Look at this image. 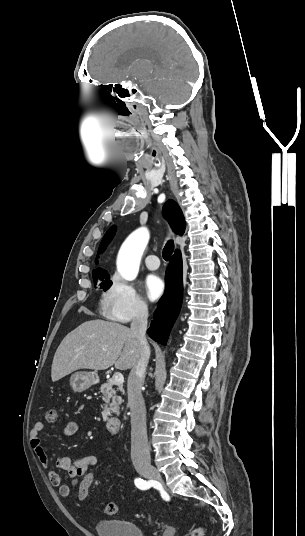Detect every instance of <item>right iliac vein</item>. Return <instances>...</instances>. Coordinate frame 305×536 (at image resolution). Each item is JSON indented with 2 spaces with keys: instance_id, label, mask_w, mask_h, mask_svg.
Returning a JSON list of instances; mask_svg holds the SVG:
<instances>
[{
  "instance_id": "1",
  "label": "right iliac vein",
  "mask_w": 305,
  "mask_h": 536,
  "mask_svg": "<svg viewBox=\"0 0 305 536\" xmlns=\"http://www.w3.org/2000/svg\"><path fill=\"white\" fill-rule=\"evenodd\" d=\"M137 469H138V472L143 474L146 478L157 480V481L161 482L162 485H164V483L162 482L160 473L158 472V470L154 466H152V465H139Z\"/></svg>"
}]
</instances>
